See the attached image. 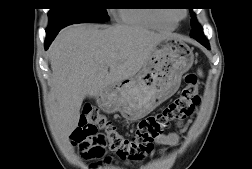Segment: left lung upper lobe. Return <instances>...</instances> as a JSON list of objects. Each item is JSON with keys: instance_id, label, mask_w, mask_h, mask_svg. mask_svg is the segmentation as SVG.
<instances>
[{"instance_id": "1", "label": "left lung upper lobe", "mask_w": 252, "mask_h": 169, "mask_svg": "<svg viewBox=\"0 0 252 169\" xmlns=\"http://www.w3.org/2000/svg\"><path fill=\"white\" fill-rule=\"evenodd\" d=\"M190 12H191V26H192V31L190 34H195L197 31H203L201 26L198 24L197 19L192 9H190Z\"/></svg>"}]
</instances>
